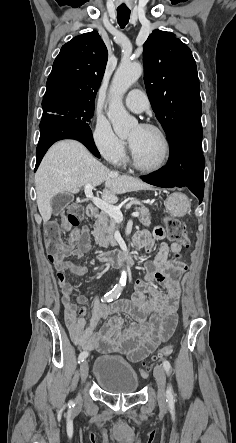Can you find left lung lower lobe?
I'll return each instance as SVG.
<instances>
[{
	"label": "left lung lower lobe",
	"mask_w": 236,
	"mask_h": 443,
	"mask_svg": "<svg viewBox=\"0 0 236 443\" xmlns=\"http://www.w3.org/2000/svg\"><path fill=\"white\" fill-rule=\"evenodd\" d=\"M203 130L201 124L178 130L170 140L168 164L141 179L151 185L172 188L188 187L202 202L204 192Z\"/></svg>",
	"instance_id": "left-lung-lower-lobe-1"
}]
</instances>
